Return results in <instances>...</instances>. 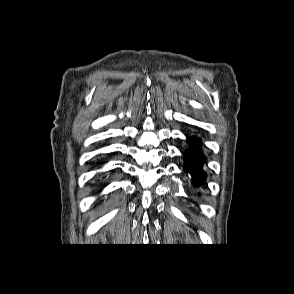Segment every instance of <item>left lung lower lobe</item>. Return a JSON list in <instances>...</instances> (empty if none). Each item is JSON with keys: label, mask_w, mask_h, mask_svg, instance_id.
<instances>
[{"label": "left lung lower lobe", "mask_w": 294, "mask_h": 294, "mask_svg": "<svg viewBox=\"0 0 294 294\" xmlns=\"http://www.w3.org/2000/svg\"><path fill=\"white\" fill-rule=\"evenodd\" d=\"M190 149L184 154V170L191 174L193 180L199 184L206 175L202 169L205 162V156L201 152V141L195 136L188 139Z\"/></svg>", "instance_id": "obj_1"}]
</instances>
